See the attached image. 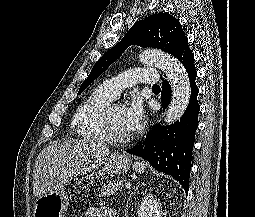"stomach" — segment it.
Listing matches in <instances>:
<instances>
[{
    "label": "stomach",
    "mask_w": 255,
    "mask_h": 217,
    "mask_svg": "<svg viewBox=\"0 0 255 217\" xmlns=\"http://www.w3.org/2000/svg\"><path fill=\"white\" fill-rule=\"evenodd\" d=\"M131 160L124 153H113L105 161L104 166L86 174L85 176L75 178V184H82L85 180L108 174H123L130 169ZM69 203L68 195L61 187L53 192L45 193L38 197L34 203V217H64Z\"/></svg>",
    "instance_id": "0dacf381"
}]
</instances>
